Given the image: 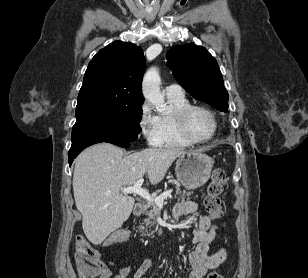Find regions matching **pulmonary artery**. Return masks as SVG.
Returning <instances> with one entry per match:
<instances>
[{
  "label": "pulmonary artery",
  "mask_w": 308,
  "mask_h": 278,
  "mask_svg": "<svg viewBox=\"0 0 308 278\" xmlns=\"http://www.w3.org/2000/svg\"><path fill=\"white\" fill-rule=\"evenodd\" d=\"M167 97H182L184 96V91L181 86L176 84H171L164 89Z\"/></svg>",
  "instance_id": "obj_1"
}]
</instances>
